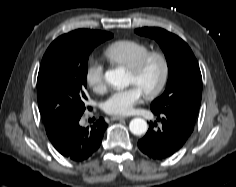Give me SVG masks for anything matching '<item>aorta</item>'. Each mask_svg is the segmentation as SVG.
I'll return each instance as SVG.
<instances>
[{
    "mask_svg": "<svg viewBox=\"0 0 236 187\" xmlns=\"http://www.w3.org/2000/svg\"><path fill=\"white\" fill-rule=\"evenodd\" d=\"M106 82L117 89H123L130 84V80L125 70L122 68L108 70L105 73ZM129 129L134 135H142L147 132V122L142 118H134L130 121Z\"/></svg>",
    "mask_w": 236,
    "mask_h": 187,
    "instance_id": "aorta-1",
    "label": "aorta"
}]
</instances>
